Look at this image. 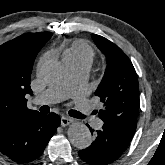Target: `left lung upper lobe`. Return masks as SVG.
Returning a JSON list of instances; mask_svg holds the SVG:
<instances>
[{
	"label": "left lung upper lobe",
	"mask_w": 165,
	"mask_h": 165,
	"mask_svg": "<svg viewBox=\"0 0 165 165\" xmlns=\"http://www.w3.org/2000/svg\"><path fill=\"white\" fill-rule=\"evenodd\" d=\"M98 48L107 60L104 77L95 94L104 103L98 116L131 136L137 127L139 85L135 69L127 55L106 38L92 34Z\"/></svg>",
	"instance_id": "1"
}]
</instances>
